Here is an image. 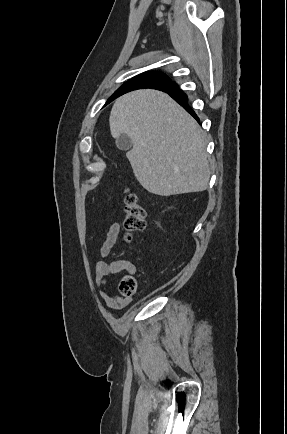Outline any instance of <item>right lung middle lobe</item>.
<instances>
[{
  "label": "right lung middle lobe",
  "instance_id": "1",
  "mask_svg": "<svg viewBox=\"0 0 287 434\" xmlns=\"http://www.w3.org/2000/svg\"><path fill=\"white\" fill-rule=\"evenodd\" d=\"M170 80L165 74L155 71L145 72L142 73L129 81H127L125 84H123L114 94L113 96L108 100L107 103L111 102L115 98L121 96L125 90L132 88V87H138V86H150L154 84H160L164 83Z\"/></svg>",
  "mask_w": 287,
  "mask_h": 434
}]
</instances>
